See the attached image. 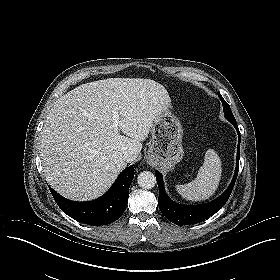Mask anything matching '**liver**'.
Segmentation results:
<instances>
[{"mask_svg":"<svg viewBox=\"0 0 280 280\" xmlns=\"http://www.w3.org/2000/svg\"><path fill=\"white\" fill-rule=\"evenodd\" d=\"M170 102L163 85L143 78L94 81L60 96L40 137L46 181L71 200L98 198L137 159L153 122ZM125 152L131 155L129 162L122 158Z\"/></svg>","mask_w":280,"mask_h":280,"instance_id":"liver-1","label":"liver"}]
</instances>
